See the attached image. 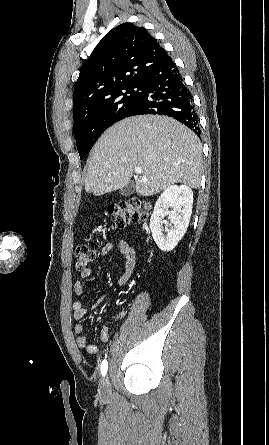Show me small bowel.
I'll list each match as a JSON object with an SVG mask.
<instances>
[{
  "label": "small bowel",
  "instance_id": "obj_1",
  "mask_svg": "<svg viewBox=\"0 0 269 445\" xmlns=\"http://www.w3.org/2000/svg\"><path fill=\"white\" fill-rule=\"evenodd\" d=\"M115 247L118 248L124 262V271L118 278L119 285H125L131 277L136 266V252L135 249L125 240H119L117 243L109 242L102 248V255H106L111 252ZM93 274L92 268H86L81 271V278L87 279ZM74 293L76 295H82L84 293V286L81 281L77 280L73 286ZM105 296L102 295L91 307L92 310H96L98 306L104 301ZM73 316L76 320H82L86 314L87 309L81 300H77L72 305ZM126 314L125 311H121L117 315V319L122 318ZM76 335V344L79 348L84 349L88 354H95L97 352V346L93 343H89L87 336L84 333V326L81 323H77L74 327ZM109 338V325H105L100 333V340L106 342Z\"/></svg>",
  "mask_w": 269,
  "mask_h": 445
}]
</instances>
